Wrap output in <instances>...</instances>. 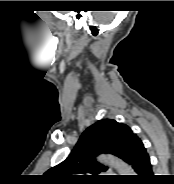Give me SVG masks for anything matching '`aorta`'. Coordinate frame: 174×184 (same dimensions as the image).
Instances as JSON below:
<instances>
[{
  "mask_svg": "<svg viewBox=\"0 0 174 184\" xmlns=\"http://www.w3.org/2000/svg\"><path fill=\"white\" fill-rule=\"evenodd\" d=\"M99 161L112 166L120 175H131L133 173L132 168L128 164L112 155H101Z\"/></svg>",
  "mask_w": 174,
  "mask_h": 184,
  "instance_id": "762f6f07",
  "label": "aorta"
}]
</instances>
